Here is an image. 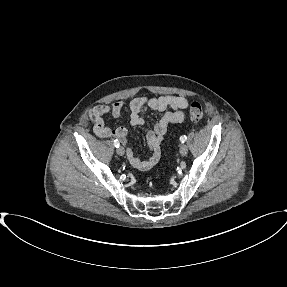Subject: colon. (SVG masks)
I'll return each instance as SVG.
<instances>
[{"instance_id": "colon-1", "label": "colon", "mask_w": 287, "mask_h": 287, "mask_svg": "<svg viewBox=\"0 0 287 287\" xmlns=\"http://www.w3.org/2000/svg\"><path fill=\"white\" fill-rule=\"evenodd\" d=\"M189 116L193 121H200L203 118V108L200 103L193 102L191 104Z\"/></svg>"}]
</instances>
